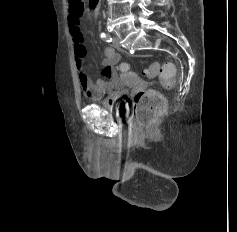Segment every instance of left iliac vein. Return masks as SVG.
<instances>
[{"instance_id":"4c4485c4","label":"left iliac vein","mask_w":237,"mask_h":232,"mask_svg":"<svg viewBox=\"0 0 237 232\" xmlns=\"http://www.w3.org/2000/svg\"><path fill=\"white\" fill-rule=\"evenodd\" d=\"M113 45H114L115 47H120L119 38L116 37V36L113 37Z\"/></svg>"}]
</instances>
